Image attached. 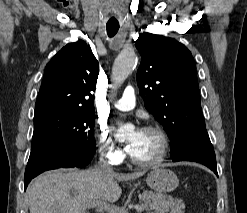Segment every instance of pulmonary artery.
Returning <instances> with one entry per match:
<instances>
[{"label": "pulmonary artery", "instance_id": "pulmonary-artery-1", "mask_svg": "<svg viewBox=\"0 0 247 213\" xmlns=\"http://www.w3.org/2000/svg\"><path fill=\"white\" fill-rule=\"evenodd\" d=\"M135 89L127 86L123 92L122 98L114 103V106L122 111H128L135 107Z\"/></svg>", "mask_w": 247, "mask_h": 213}]
</instances>
